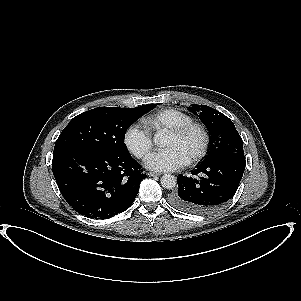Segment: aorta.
Here are the masks:
<instances>
[{"label": "aorta", "instance_id": "762f6f07", "mask_svg": "<svg viewBox=\"0 0 301 301\" xmlns=\"http://www.w3.org/2000/svg\"><path fill=\"white\" fill-rule=\"evenodd\" d=\"M161 186L165 189H173L177 185V179L174 175L171 174H164L161 179Z\"/></svg>", "mask_w": 301, "mask_h": 301}]
</instances>
